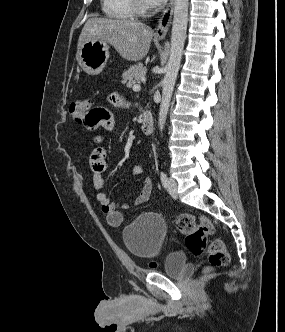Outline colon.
<instances>
[{"label": "colon", "instance_id": "5ec220e1", "mask_svg": "<svg viewBox=\"0 0 285 332\" xmlns=\"http://www.w3.org/2000/svg\"><path fill=\"white\" fill-rule=\"evenodd\" d=\"M90 108L91 104L88 101H75L70 106V115L75 122L82 124L79 116L85 115V111H90ZM176 226L185 236L186 247L192 254L200 255L205 251L208 253L207 270L224 266L229 262L230 256L225 243L220 239L208 241L214 227L207 217L182 214L176 219ZM151 265L155 266V263L152 262Z\"/></svg>", "mask_w": 285, "mask_h": 332}]
</instances>
